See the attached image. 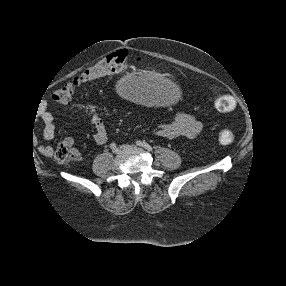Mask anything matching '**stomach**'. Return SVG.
<instances>
[{"mask_svg": "<svg viewBox=\"0 0 286 286\" xmlns=\"http://www.w3.org/2000/svg\"><path fill=\"white\" fill-rule=\"evenodd\" d=\"M123 91L130 102L165 112L179 109L186 98L185 88L177 78L154 71L130 73L124 81Z\"/></svg>", "mask_w": 286, "mask_h": 286, "instance_id": "1", "label": "stomach"}]
</instances>
